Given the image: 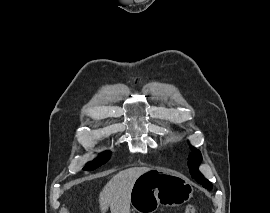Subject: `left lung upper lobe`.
Returning a JSON list of instances; mask_svg holds the SVG:
<instances>
[{"mask_svg":"<svg viewBox=\"0 0 270 213\" xmlns=\"http://www.w3.org/2000/svg\"><path fill=\"white\" fill-rule=\"evenodd\" d=\"M193 150L192 153L189 155L188 167L191 176L196 179L198 183H200L203 187L211 190L212 183L209 182L203 175L199 172L198 166L202 160V156L199 150L194 147H191Z\"/></svg>","mask_w":270,"mask_h":213,"instance_id":"1","label":"left lung upper lobe"}]
</instances>
